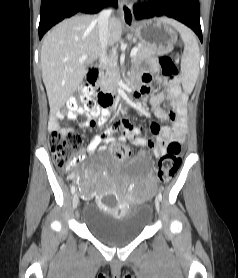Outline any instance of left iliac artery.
I'll use <instances>...</instances> for the list:
<instances>
[{
  "instance_id": "left-iliac-artery-1",
  "label": "left iliac artery",
  "mask_w": 238,
  "mask_h": 278,
  "mask_svg": "<svg viewBox=\"0 0 238 278\" xmlns=\"http://www.w3.org/2000/svg\"><path fill=\"white\" fill-rule=\"evenodd\" d=\"M157 199H158L159 201H162V194H161V193L158 194Z\"/></svg>"
}]
</instances>
